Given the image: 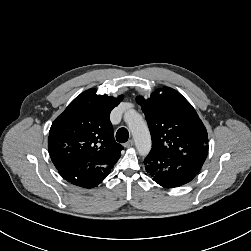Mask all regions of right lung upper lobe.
<instances>
[{"label":"right lung upper lobe","instance_id":"obj_1","mask_svg":"<svg viewBox=\"0 0 251 251\" xmlns=\"http://www.w3.org/2000/svg\"><path fill=\"white\" fill-rule=\"evenodd\" d=\"M89 89L77 96L52 123L48 150L60 175L74 181L92 167L97 176L109 174L123 146L114 140L110 112L123 99Z\"/></svg>","mask_w":251,"mask_h":251}]
</instances>
